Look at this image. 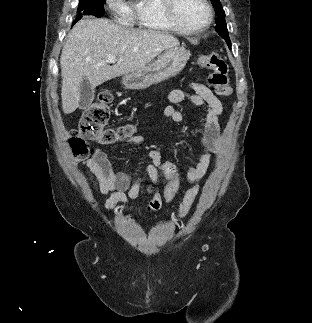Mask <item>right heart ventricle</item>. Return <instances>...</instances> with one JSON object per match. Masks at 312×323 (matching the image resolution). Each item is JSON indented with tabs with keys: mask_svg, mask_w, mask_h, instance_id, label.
I'll list each match as a JSON object with an SVG mask.
<instances>
[{
	"mask_svg": "<svg viewBox=\"0 0 312 323\" xmlns=\"http://www.w3.org/2000/svg\"><path fill=\"white\" fill-rule=\"evenodd\" d=\"M136 29H178V22H170L163 1H148L130 10Z\"/></svg>",
	"mask_w": 312,
	"mask_h": 323,
	"instance_id": "e07e8e85",
	"label": "right heart ventricle"
}]
</instances>
